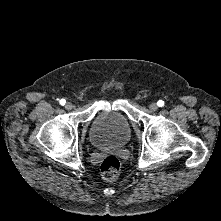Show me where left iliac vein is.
Instances as JSON below:
<instances>
[{
	"mask_svg": "<svg viewBox=\"0 0 221 221\" xmlns=\"http://www.w3.org/2000/svg\"><path fill=\"white\" fill-rule=\"evenodd\" d=\"M149 108L151 111H156L158 109V105L157 103L155 102H152L150 105H149Z\"/></svg>",
	"mask_w": 221,
	"mask_h": 221,
	"instance_id": "1",
	"label": "left iliac vein"
}]
</instances>
